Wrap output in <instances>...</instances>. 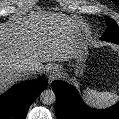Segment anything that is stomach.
<instances>
[{"mask_svg":"<svg viewBox=\"0 0 119 119\" xmlns=\"http://www.w3.org/2000/svg\"><path fill=\"white\" fill-rule=\"evenodd\" d=\"M86 55H87L86 45L81 41H79V39H76L75 52L73 54L75 63L72 64V67L76 75L82 74Z\"/></svg>","mask_w":119,"mask_h":119,"instance_id":"1","label":"stomach"}]
</instances>
